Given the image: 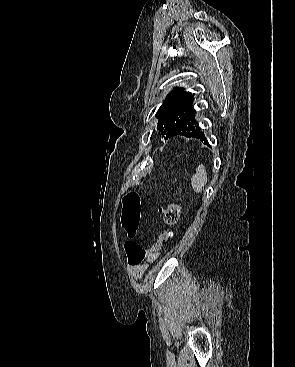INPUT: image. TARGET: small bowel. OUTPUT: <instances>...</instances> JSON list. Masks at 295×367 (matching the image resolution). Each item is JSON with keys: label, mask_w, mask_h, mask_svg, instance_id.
I'll list each match as a JSON object with an SVG mask.
<instances>
[{"label": "small bowel", "mask_w": 295, "mask_h": 367, "mask_svg": "<svg viewBox=\"0 0 295 367\" xmlns=\"http://www.w3.org/2000/svg\"><path fill=\"white\" fill-rule=\"evenodd\" d=\"M147 267H148L147 262H144L140 265H132L129 263L128 269H129V272L133 275V277L139 280L145 274Z\"/></svg>", "instance_id": "small-bowel-1"}]
</instances>
